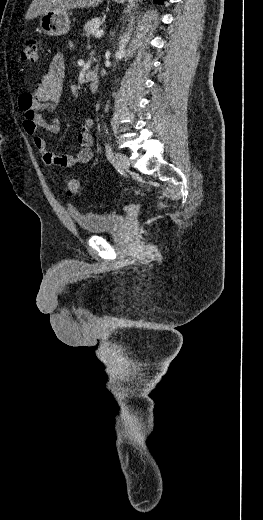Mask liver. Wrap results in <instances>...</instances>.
Returning <instances> with one entry per match:
<instances>
[{
  "mask_svg": "<svg viewBox=\"0 0 263 520\" xmlns=\"http://www.w3.org/2000/svg\"><path fill=\"white\" fill-rule=\"evenodd\" d=\"M103 0H33L25 18L32 20L52 10H70L96 7Z\"/></svg>",
  "mask_w": 263,
  "mask_h": 520,
  "instance_id": "1",
  "label": "liver"
}]
</instances>
